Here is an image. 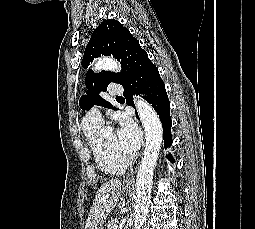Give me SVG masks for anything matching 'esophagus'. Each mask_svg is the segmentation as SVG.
<instances>
[{"label":"esophagus","instance_id":"1","mask_svg":"<svg viewBox=\"0 0 255 229\" xmlns=\"http://www.w3.org/2000/svg\"><path fill=\"white\" fill-rule=\"evenodd\" d=\"M134 184V177H129L124 181V185L130 186Z\"/></svg>","mask_w":255,"mask_h":229}]
</instances>
